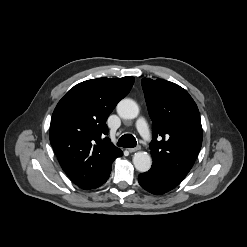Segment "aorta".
I'll list each match as a JSON object with an SVG mask.
<instances>
[{"mask_svg": "<svg viewBox=\"0 0 247 247\" xmlns=\"http://www.w3.org/2000/svg\"><path fill=\"white\" fill-rule=\"evenodd\" d=\"M117 113L123 119H134L139 114V107L132 99H122L117 105ZM133 164L139 172H147L152 165V159L147 152L139 151L133 156Z\"/></svg>", "mask_w": 247, "mask_h": 247, "instance_id": "obj_1", "label": "aorta"}]
</instances>
